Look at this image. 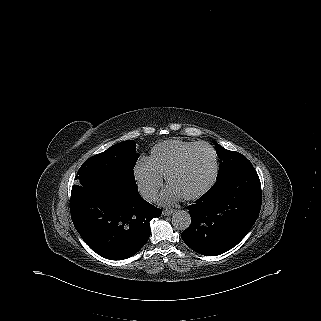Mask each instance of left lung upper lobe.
Here are the masks:
<instances>
[{
	"label": "left lung upper lobe",
	"mask_w": 321,
	"mask_h": 321,
	"mask_svg": "<svg viewBox=\"0 0 321 321\" xmlns=\"http://www.w3.org/2000/svg\"><path fill=\"white\" fill-rule=\"evenodd\" d=\"M215 146L217 155L221 161L217 179L233 168L251 164V162L242 154L235 151L227 150L219 144H216Z\"/></svg>",
	"instance_id": "obj_1"
}]
</instances>
